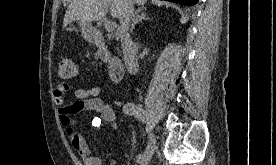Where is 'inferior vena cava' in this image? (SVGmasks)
<instances>
[{
    "label": "inferior vena cava",
    "mask_w": 276,
    "mask_h": 165,
    "mask_svg": "<svg viewBox=\"0 0 276 165\" xmlns=\"http://www.w3.org/2000/svg\"><path fill=\"white\" fill-rule=\"evenodd\" d=\"M133 1L124 0L122 15L120 17L119 34L121 38V47L124 53V61L130 73L138 72V63L135 58L133 42L129 35L130 21L133 17Z\"/></svg>",
    "instance_id": "obj_1"
}]
</instances>
